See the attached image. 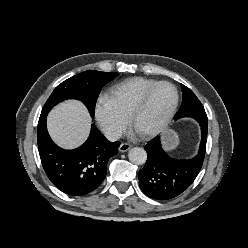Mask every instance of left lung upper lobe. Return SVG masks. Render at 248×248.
Instances as JSON below:
<instances>
[{"label": "left lung upper lobe", "instance_id": "left-lung-upper-lobe-1", "mask_svg": "<svg viewBox=\"0 0 248 248\" xmlns=\"http://www.w3.org/2000/svg\"><path fill=\"white\" fill-rule=\"evenodd\" d=\"M181 88L183 101L176 119L181 117H207L204 107L196 95L183 84H181Z\"/></svg>", "mask_w": 248, "mask_h": 248}]
</instances>
